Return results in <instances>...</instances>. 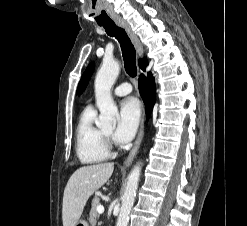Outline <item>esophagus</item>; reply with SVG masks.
<instances>
[{"label":"esophagus","mask_w":247,"mask_h":226,"mask_svg":"<svg viewBox=\"0 0 247 226\" xmlns=\"http://www.w3.org/2000/svg\"><path fill=\"white\" fill-rule=\"evenodd\" d=\"M115 22L118 26L122 27L127 32V34L129 35V37H130V39H131V41H132V43H133V45L137 51L138 56L141 57L143 54V46L140 43L137 35L132 31L130 25L126 21H124L123 19H116ZM144 111H145V108H143V119H142V124L140 127L138 137L135 141L134 147L130 151V153H129V155H128L125 163H124L125 166H129L131 164V162L133 161L134 157L136 156V154L140 148V145H141V142H142V139L144 136Z\"/></svg>","instance_id":"1"}]
</instances>
